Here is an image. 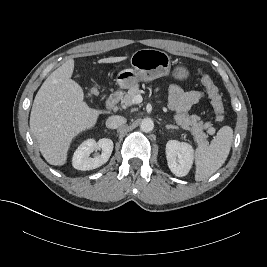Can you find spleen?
<instances>
[{"label":"spleen","mask_w":267,"mask_h":267,"mask_svg":"<svg viewBox=\"0 0 267 267\" xmlns=\"http://www.w3.org/2000/svg\"><path fill=\"white\" fill-rule=\"evenodd\" d=\"M233 141V129L223 126L210 144L198 145L195 152V180L203 181L213 175L226 161Z\"/></svg>","instance_id":"1"}]
</instances>
